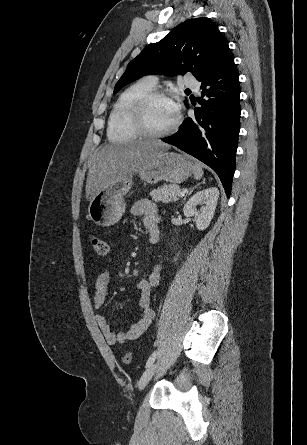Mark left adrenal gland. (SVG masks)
<instances>
[{"label": "left adrenal gland", "instance_id": "left-adrenal-gland-1", "mask_svg": "<svg viewBox=\"0 0 307 445\" xmlns=\"http://www.w3.org/2000/svg\"><path fill=\"white\" fill-rule=\"evenodd\" d=\"M203 182H204V180H203ZM199 184H200V182H199ZM196 186H198V184H196ZM196 186H193V188H196ZM193 188H191L190 192H192ZM190 192H189V194H190ZM186 196H187V194H185V196L183 198V202H185Z\"/></svg>", "mask_w": 307, "mask_h": 445}]
</instances>
